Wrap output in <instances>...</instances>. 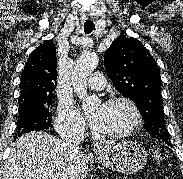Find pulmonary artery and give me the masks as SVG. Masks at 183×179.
<instances>
[{
  "label": "pulmonary artery",
  "mask_w": 183,
  "mask_h": 179,
  "mask_svg": "<svg viewBox=\"0 0 183 179\" xmlns=\"http://www.w3.org/2000/svg\"><path fill=\"white\" fill-rule=\"evenodd\" d=\"M87 84L93 90H101L104 88L106 80L102 73L95 72L90 76Z\"/></svg>",
  "instance_id": "e3ab8cb5"
}]
</instances>
